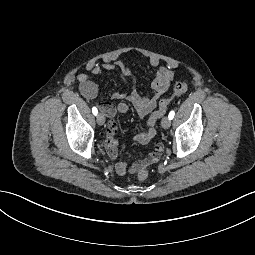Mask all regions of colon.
I'll return each mask as SVG.
<instances>
[{
    "label": "colon",
    "instance_id": "colon-1",
    "mask_svg": "<svg viewBox=\"0 0 255 255\" xmlns=\"http://www.w3.org/2000/svg\"><path fill=\"white\" fill-rule=\"evenodd\" d=\"M188 90V85L185 82H177L174 85L172 95L170 97L164 98L159 102L158 108L152 113L147 122V128H155L157 121L166 113L167 108L171 101ZM149 172L146 168L140 169L137 172V179L144 181L148 178Z\"/></svg>",
    "mask_w": 255,
    "mask_h": 255
}]
</instances>
